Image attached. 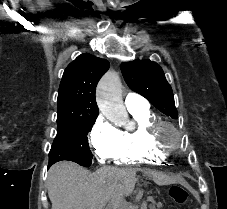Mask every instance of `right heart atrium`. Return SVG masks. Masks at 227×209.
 I'll return each instance as SVG.
<instances>
[{"mask_svg": "<svg viewBox=\"0 0 227 209\" xmlns=\"http://www.w3.org/2000/svg\"><path fill=\"white\" fill-rule=\"evenodd\" d=\"M90 139L97 159L100 162L109 161L119 148L121 131L100 116L90 132Z\"/></svg>", "mask_w": 227, "mask_h": 209, "instance_id": "obj_1", "label": "right heart atrium"}]
</instances>
